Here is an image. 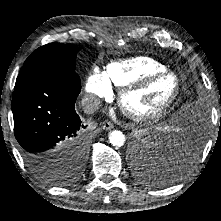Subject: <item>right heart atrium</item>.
Wrapping results in <instances>:
<instances>
[{
	"mask_svg": "<svg viewBox=\"0 0 221 221\" xmlns=\"http://www.w3.org/2000/svg\"><path fill=\"white\" fill-rule=\"evenodd\" d=\"M85 90L86 93L96 101L101 98L109 97L112 92L110 83L105 75L98 69L93 70L88 77Z\"/></svg>",
	"mask_w": 221,
	"mask_h": 221,
	"instance_id": "1",
	"label": "right heart atrium"
}]
</instances>
